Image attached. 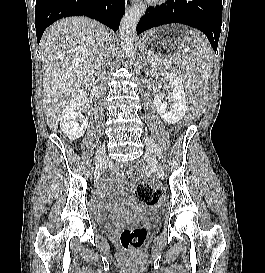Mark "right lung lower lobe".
<instances>
[{"label": "right lung lower lobe", "mask_w": 265, "mask_h": 273, "mask_svg": "<svg viewBox=\"0 0 265 273\" xmlns=\"http://www.w3.org/2000/svg\"><path fill=\"white\" fill-rule=\"evenodd\" d=\"M124 12V0H36L37 42L50 24L68 16H87L117 31Z\"/></svg>", "instance_id": "1"}]
</instances>
